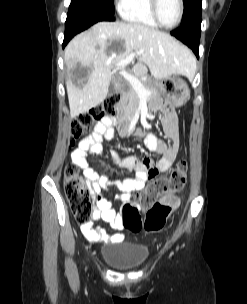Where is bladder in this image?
<instances>
[{"label": "bladder", "mask_w": 247, "mask_h": 304, "mask_svg": "<svg viewBox=\"0 0 247 304\" xmlns=\"http://www.w3.org/2000/svg\"><path fill=\"white\" fill-rule=\"evenodd\" d=\"M148 256L147 247L123 242L108 243L101 249V258L112 268L121 271L141 267Z\"/></svg>", "instance_id": "bladder-1"}]
</instances>
